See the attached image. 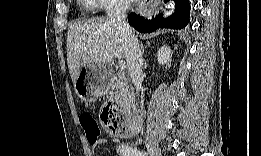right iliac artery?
I'll return each mask as SVG.
<instances>
[{"label": "right iliac artery", "mask_w": 261, "mask_h": 156, "mask_svg": "<svg viewBox=\"0 0 261 156\" xmlns=\"http://www.w3.org/2000/svg\"><path fill=\"white\" fill-rule=\"evenodd\" d=\"M118 152L123 156H143L141 151L126 144L119 145Z\"/></svg>", "instance_id": "right-iliac-artery-1"}]
</instances>
